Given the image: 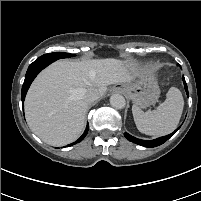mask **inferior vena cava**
Instances as JSON below:
<instances>
[{
    "label": "inferior vena cava",
    "mask_w": 201,
    "mask_h": 201,
    "mask_svg": "<svg viewBox=\"0 0 201 201\" xmlns=\"http://www.w3.org/2000/svg\"><path fill=\"white\" fill-rule=\"evenodd\" d=\"M84 98L87 102L91 103L99 98V93L94 88H88L84 91Z\"/></svg>",
    "instance_id": "1"
}]
</instances>
